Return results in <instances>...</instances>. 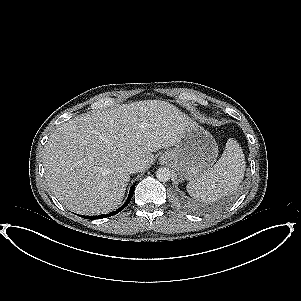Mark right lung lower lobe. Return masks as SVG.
Masks as SVG:
<instances>
[{"mask_svg":"<svg viewBox=\"0 0 301 301\" xmlns=\"http://www.w3.org/2000/svg\"><path fill=\"white\" fill-rule=\"evenodd\" d=\"M134 189H135V185H133L131 188H130V192H129V196L126 200V202L124 203V205L118 209L117 211H114L112 213H109V214H103V215H98V216H84L85 218L87 219H91V220H94V219H101V218H107V217H110V216H113L115 214H117L118 212H120L121 210H123L128 204L129 202L131 201V198L133 196V193H134Z\"/></svg>","mask_w":301,"mask_h":301,"instance_id":"obj_1","label":"right lung lower lobe"}]
</instances>
